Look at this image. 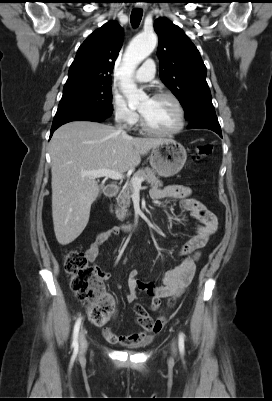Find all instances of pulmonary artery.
<instances>
[{
    "instance_id": "pulmonary-artery-1",
    "label": "pulmonary artery",
    "mask_w": 272,
    "mask_h": 401,
    "mask_svg": "<svg viewBox=\"0 0 272 401\" xmlns=\"http://www.w3.org/2000/svg\"><path fill=\"white\" fill-rule=\"evenodd\" d=\"M155 63L153 60H146L142 67L136 72L135 79L138 82H148L154 78Z\"/></svg>"
}]
</instances>
